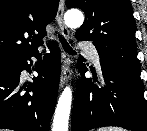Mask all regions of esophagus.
Instances as JSON below:
<instances>
[{
  "label": "esophagus",
  "instance_id": "obj_1",
  "mask_svg": "<svg viewBox=\"0 0 147 131\" xmlns=\"http://www.w3.org/2000/svg\"><path fill=\"white\" fill-rule=\"evenodd\" d=\"M64 5H65V0H60L56 19H57V22L60 26L62 35L66 39H69L70 32L63 21ZM70 63H71V60H70L69 56H67L64 53L63 62H62L61 77H60V84H59L60 88H62L64 86V84L66 83V81L70 78V75H71Z\"/></svg>",
  "mask_w": 147,
  "mask_h": 131
}]
</instances>
